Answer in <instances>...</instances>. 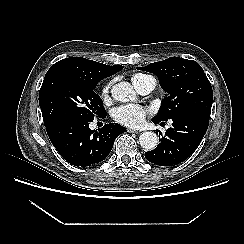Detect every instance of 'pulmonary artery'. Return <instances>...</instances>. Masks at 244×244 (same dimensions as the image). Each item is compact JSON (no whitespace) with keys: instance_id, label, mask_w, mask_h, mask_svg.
<instances>
[{"instance_id":"1","label":"pulmonary artery","mask_w":244,"mask_h":244,"mask_svg":"<svg viewBox=\"0 0 244 244\" xmlns=\"http://www.w3.org/2000/svg\"><path fill=\"white\" fill-rule=\"evenodd\" d=\"M155 85H156L155 79L151 76H147L135 88L140 94L147 95L154 89Z\"/></svg>"}]
</instances>
